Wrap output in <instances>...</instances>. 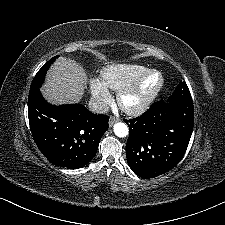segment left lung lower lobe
<instances>
[{"label": "left lung lower lobe", "mask_w": 225, "mask_h": 225, "mask_svg": "<svg viewBox=\"0 0 225 225\" xmlns=\"http://www.w3.org/2000/svg\"><path fill=\"white\" fill-rule=\"evenodd\" d=\"M129 125L127 162L138 176L148 179L174 168L184 156L194 124L193 101H158Z\"/></svg>", "instance_id": "left-lung-lower-lobe-1"}]
</instances>
